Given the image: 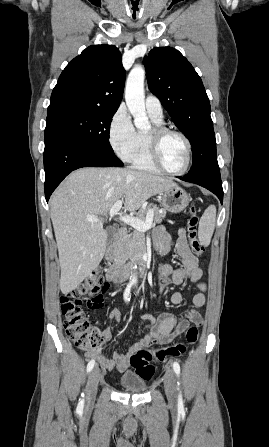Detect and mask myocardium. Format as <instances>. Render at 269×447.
Listing matches in <instances>:
<instances>
[{
    "label": "myocardium",
    "instance_id": "myocardium-1",
    "mask_svg": "<svg viewBox=\"0 0 269 447\" xmlns=\"http://www.w3.org/2000/svg\"><path fill=\"white\" fill-rule=\"evenodd\" d=\"M170 134H174L181 137L186 144V151H187L186 163L184 167L179 170H172L168 168L162 159L161 142L167 135ZM147 145H148L149 158L151 162L159 170L174 175L183 174L188 170L192 159V145L189 138L183 132L177 129L156 125L150 132L147 133Z\"/></svg>",
    "mask_w": 269,
    "mask_h": 447
}]
</instances>
